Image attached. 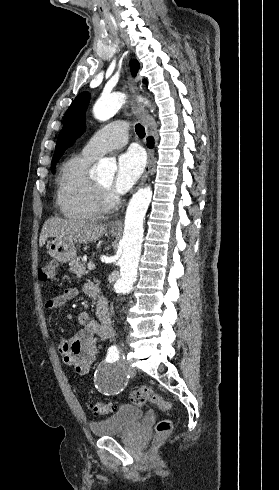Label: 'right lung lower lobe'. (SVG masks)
Masks as SVG:
<instances>
[{
  "mask_svg": "<svg viewBox=\"0 0 279 490\" xmlns=\"http://www.w3.org/2000/svg\"><path fill=\"white\" fill-rule=\"evenodd\" d=\"M153 144H154V141H153V138L152 137H148L147 138V145L149 148H152L153 147Z\"/></svg>",
  "mask_w": 279,
  "mask_h": 490,
  "instance_id": "98d812e1",
  "label": "right lung lower lobe"
}]
</instances>
